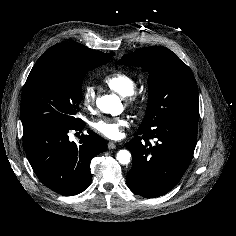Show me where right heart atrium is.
<instances>
[{
  "mask_svg": "<svg viewBox=\"0 0 236 236\" xmlns=\"http://www.w3.org/2000/svg\"><path fill=\"white\" fill-rule=\"evenodd\" d=\"M96 90L92 85H85L82 89V103L83 105L91 109L95 104Z\"/></svg>",
  "mask_w": 236,
  "mask_h": 236,
  "instance_id": "right-heart-atrium-1",
  "label": "right heart atrium"
}]
</instances>
